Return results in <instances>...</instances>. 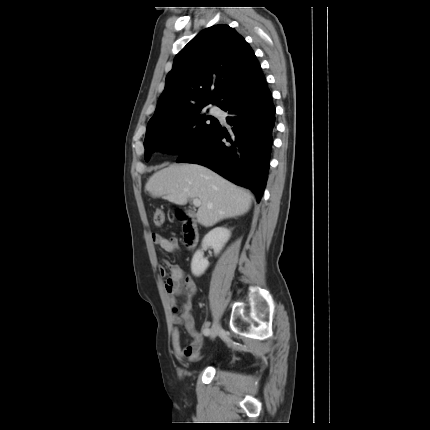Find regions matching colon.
<instances>
[{
  "instance_id": "colon-1",
  "label": "colon",
  "mask_w": 430,
  "mask_h": 430,
  "mask_svg": "<svg viewBox=\"0 0 430 430\" xmlns=\"http://www.w3.org/2000/svg\"><path fill=\"white\" fill-rule=\"evenodd\" d=\"M153 220L155 225L161 226L165 221V213L162 209H156L154 212ZM175 311H178V307H174Z\"/></svg>"
}]
</instances>
